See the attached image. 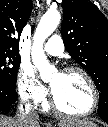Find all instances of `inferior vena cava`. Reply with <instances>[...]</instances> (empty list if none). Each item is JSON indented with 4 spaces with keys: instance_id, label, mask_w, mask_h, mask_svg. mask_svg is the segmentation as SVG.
<instances>
[{
    "instance_id": "602c4592",
    "label": "inferior vena cava",
    "mask_w": 108,
    "mask_h": 127,
    "mask_svg": "<svg viewBox=\"0 0 108 127\" xmlns=\"http://www.w3.org/2000/svg\"><path fill=\"white\" fill-rule=\"evenodd\" d=\"M27 99V96L23 97L25 106H23V104L19 105L17 116L26 121V123H28L29 120L37 121L38 115L32 111V106L29 102H27Z\"/></svg>"
}]
</instances>
